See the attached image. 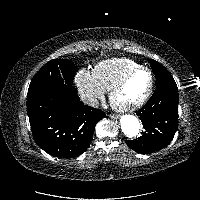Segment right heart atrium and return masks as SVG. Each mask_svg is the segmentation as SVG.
I'll return each instance as SVG.
<instances>
[{
    "mask_svg": "<svg viewBox=\"0 0 200 200\" xmlns=\"http://www.w3.org/2000/svg\"><path fill=\"white\" fill-rule=\"evenodd\" d=\"M74 82L82 100L91 107H95L105 97L107 90L98 82L91 69H79Z\"/></svg>",
    "mask_w": 200,
    "mask_h": 200,
    "instance_id": "right-heart-atrium-1",
    "label": "right heart atrium"
}]
</instances>
